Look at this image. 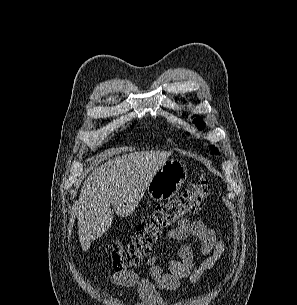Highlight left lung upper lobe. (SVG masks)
<instances>
[{
	"instance_id": "1",
	"label": "left lung upper lobe",
	"mask_w": 297,
	"mask_h": 305,
	"mask_svg": "<svg viewBox=\"0 0 297 305\" xmlns=\"http://www.w3.org/2000/svg\"><path fill=\"white\" fill-rule=\"evenodd\" d=\"M194 122L197 124L200 130L204 128V123L202 122L201 118L199 117L195 118Z\"/></svg>"
}]
</instances>
